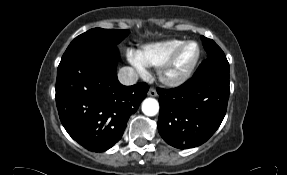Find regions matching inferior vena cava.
<instances>
[{
	"instance_id": "602c4592",
	"label": "inferior vena cava",
	"mask_w": 287,
	"mask_h": 175,
	"mask_svg": "<svg viewBox=\"0 0 287 175\" xmlns=\"http://www.w3.org/2000/svg\"><path fill=\"white\" fill-rule=\"evenodd\" d=\"M118 80L123 85H133L138 80V74L131 67H122L118 72Z\"/></svg>"
}]
</instances>
